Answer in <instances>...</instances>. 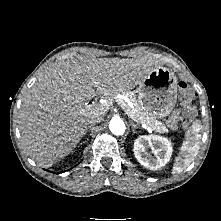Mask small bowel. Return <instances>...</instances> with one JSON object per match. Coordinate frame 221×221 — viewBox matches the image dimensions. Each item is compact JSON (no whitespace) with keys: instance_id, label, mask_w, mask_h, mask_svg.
<instances>
[{"instance_id":"small-bowel-1","label":"small bowel","mask_w":221,"mask_h":221,"mask_svg":"<svg viewBox=\"0 0 221 221\" xmlns=\"http://www.w3.org/2000/svg\"><path fill=\"white\" fill-rule=\"evenodd\" d=\"M190 106V100L183 101V107L187 108ZM179 118V111H175L168 119V125L170 128H175L177 124V120Z\"/></svg>"}]
</instances>
